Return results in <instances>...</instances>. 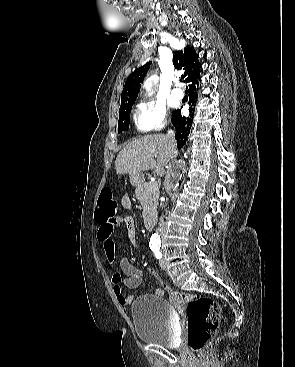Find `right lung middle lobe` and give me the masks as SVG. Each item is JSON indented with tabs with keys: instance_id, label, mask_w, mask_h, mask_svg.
<instances>
[{
	"instance_id": "1",
	"label": "right lung middle lobe",
	"mask_w": 295,
	"mask_h": 367,
	"mask_svg": "<svg viewBox=\"0 0 295 367\" xmlns=\"http://www.w3.org/2000/svg\"><path fill=\"white\" fill-rule=\"evenodd\" d=\"M134 102L125 103L119 109L118 133L127 131L130 123V112Z\"/></svg>"
}]
</instances>
